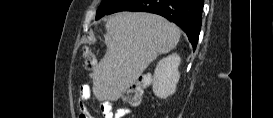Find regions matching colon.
I'll return each mask as SVG.
<instances>
[{
    "mask_svg": "<svg viewBox=\"0 0 273 118\" xmlns=\"http://www.w3.org/2000/svg\"><path fill=\"white\" fill-rule=\"evenodd\" d=\"M83 56L85 60V67L87 70H92L96 65V59L92 51L88 47H84ZM146 83L138 80L123 95V99L130 105L138 104L142 97V92Z\"/></svg>",
    "mask_w": 273,
    "mask_h": 118,
    "instance_id": "colon-1",
    "label": "colon"
}]
</instances>
